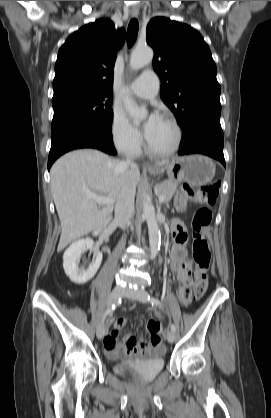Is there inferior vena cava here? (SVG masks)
I'll list each match as a JSON object with an SVG mask.
<instances>
[{
    "instance_id": "602c4592",
    "label": "inferior vena cava",
    "mask_w": 271,
    "mask_h": 418,
    "mask_svg": "<svg viewBox=\"0 0 271 418\" xmlns=\"http://www.w3.org/2000/svg\"><path fill=\"white\" fill-rule=\"evenodd\" d=\"M126 165H133L134 162L130 159L126 160ZM134 213V193L130 190L123 189L116 201L115 206V222L125 229L131 223V218Z\"/></svg>"
}]
</instances>
